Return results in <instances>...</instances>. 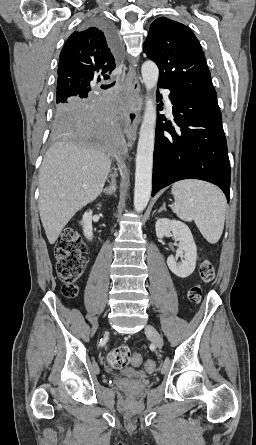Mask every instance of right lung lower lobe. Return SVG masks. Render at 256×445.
<instances>
[{
	"instance_id": "right-lung-lower-lobe-1",
	"label": "right lung lower lobe",
	"mask_w": 256,
	"mask_h": 445,
	"mask_svg": "<svg viewBox=\"0 0 256 445\" xmlns=\"http://www.w3.org/2000/svg\"><path fill=\"white\" fill-rule=\"evenodd\" d=\"M117 51V40L106 22L96 24ZM75 102L55 115V129L70 141L86 144L112 157H122L126 144L116 117V100L80 95Z\"/></svg>"
}]
</instances>
